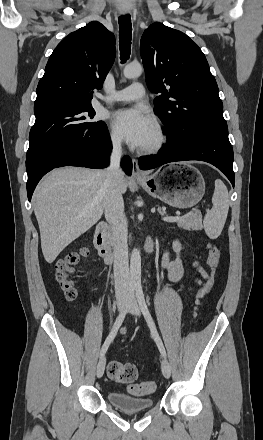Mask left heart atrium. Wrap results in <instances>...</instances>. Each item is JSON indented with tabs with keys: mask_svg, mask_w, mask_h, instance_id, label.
Here are the masks:
<instances>
[{
	"mask_svg": "<svg viewBox=\"0 0 263 440\" xmlns=\"http://www.w3.org/2000/svg\"><path fill=\"white\" fill-rule=\"evenodd\" d=\"M113 127L117 133L134 146H140L152 127V119L140 108H126L113 114Z\"/></svg>",
	"mask_w": 263,
	"mask_h": 440,
	"instance_id": "1",
	"label": "left heart atrium"
}]
</instances>
